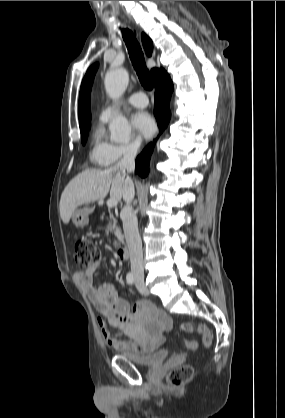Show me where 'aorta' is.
<instances>
[{
  "mask_svg": "<svg viewBox=\"0 0 285 418\" xmlns=\"http://www.w3.org/2000/svg\"><path fill=\"white\" fill-rule=\"evenodd\" d=\"M129 82V74L125 68L110 69L105 76L104 85L107 94L115 99L125 92ZM111 140L114 142H127L130 139L131 127L128 120L121 114L116 115L109 124Z\"/></svg>",
  "mask_w": 285,
  "mask_h": 418,
  "instance_id": "obj_1",
  "label": "aorta"
}]
</instances>
